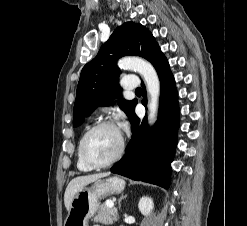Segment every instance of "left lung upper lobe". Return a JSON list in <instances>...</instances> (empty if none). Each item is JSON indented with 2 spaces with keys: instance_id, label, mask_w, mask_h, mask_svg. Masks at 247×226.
Here are the masks:
<instances>
[{
  "instance_id": "1",
  "label": "left lung upper lobe",
  "mask_w": 247,
  "mask_h": 226,
  "mask_svg": "<svg viewBox=\"0 0 247 226\" xmlns=\"http://www.w3.org/2000/svg\"><path fill=\"white\" fill-rule=\"evenodd\" d=\"M160 48L153 35L141 24L127 22L117 27L97 56L87 63L80 74L73 110V126L83 123L97 106L111 105L114 96L120 95L117 60L125 55L141 56L152 61ZM136 100L121 99L119 107L131 117Z\"/></svg>"
}]
</instances>
